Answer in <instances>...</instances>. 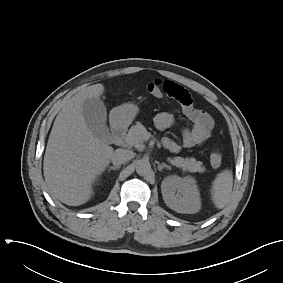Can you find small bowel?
I'll use <instances>...</instances> for the list:
<instances>
[{"label":"small bowel","mask_w":283,"mask_h":283,"mask_svg":"<svg viewBox=\"0 0 283 283\" xmlns=\"http://www.w3.org/2000/svg\"><path fill=\"white\" fill-rule=\"evenodd\" d=\"M163 96L175 99L181 105L186 118L191 122V127L183 130L182 143L170 137L162 139L163 146L172 153H178L182 147L192 148L203 144L211 136L213 120L211 116L194 107L189 91L173 81L161 82ZM154 124L158 130H166L175 124V118L168 112H160L154 118Z\"/></svg>","instance_id":"small-bowel-1"}]
</instances>
